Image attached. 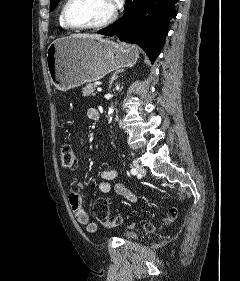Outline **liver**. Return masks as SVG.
Listing matches in <instances>:
<instances>
[{
	"label": "liver",
	"mask_w": 240,
	"mask_h": 281,
	"mask_svg": "<svg viewBox=\"0 0 240 281\" xmlns=\"http://www.w3.org/2000/svg\"><path fill=\"white\" fill-rule=\"evenodd\" d=\"M72 36H77V37H86V38H93V39H100L101 36L99 35H89V34H75Z\"/></svg>",
	"instance_id": "liver-1"
}]
</instances>
